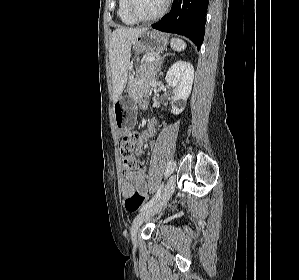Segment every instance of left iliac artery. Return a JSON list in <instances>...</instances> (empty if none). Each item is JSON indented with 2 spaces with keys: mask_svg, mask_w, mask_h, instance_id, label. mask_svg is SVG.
<instances>
[{
  "mask_svg": "<svg viewBox=\"0 0 299 280\" xmlns=\"http://www.w3.org/2000/svg\"><path fill=\"white\" fill-rule=\"evenodd\" d=\"M174 168H175L174 161H170L167 164V168H166V171H165V178H167L171 175V173L174 171ZM162 190H163V184L160 186V188L158 189L155 196L141 208V211H143V210L151 207L152 205H154L159 200V198L161 197Z\"/></svg>",
  "mask_w": 299,
  "mask_h": 280,
  "instance_id": "1",
  "label": "left iliac artery"
}]
</instances>
